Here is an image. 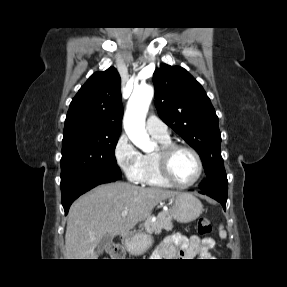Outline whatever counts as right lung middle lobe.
Listing matches in <instances>:
<instances>
[{
	"mask_svg": "<svg viewBox=\"0 0 287 287\" xmlns=\"http://www.w3.org/2000/svg\"><path fill=\"white\" fill-rule=\"evenodd\" d=\"M120 132H100L81 125L64 131L61 183L84 174L121 178L115 159Z\"/></svg>",
	"mask_w": 287,
	"mask_h": 287,
	"instance_id": "1",
	"label": "right lung middle lobe"
}]
</instances>
